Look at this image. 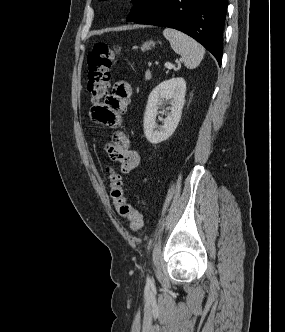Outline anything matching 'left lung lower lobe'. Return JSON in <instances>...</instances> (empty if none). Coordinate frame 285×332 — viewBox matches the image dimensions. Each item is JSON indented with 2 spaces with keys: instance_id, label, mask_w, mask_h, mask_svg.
<instances>
[{
  "instance_id": "0a47b994",
  "label": "left lung lower lobe",
  "mask_w": 285,
  "mask_h": 332,
  "mask_svg": "<svg viewBox=\"0 0 285 332\" xmlns=\"http://www.w3.org/2000/svg\"><path fill=\"white\" fill-rule=\"evenodd\" d=\"M226 10L227 0H159L134 22L182 31L201 43L221 65Z\"/></svg>"
}]
</instances>
